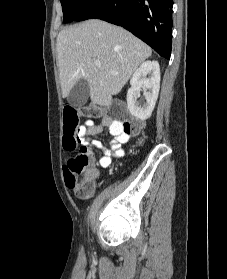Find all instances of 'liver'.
I'll list each match as a JSON object with an SVG mask.
<instances>
[{
  "mask_svg": "<svg viewBox=\"0 0 227 279\" xmlns=\"http://www.w3.org/2000/svg\"><path fill=\"white\" fill-rule=\"evenodd\" d=\"M56 51L62 97L66 98L77 81L84 78L91 101L107 107L112 104V96L121 91L152 53L148 45L127 30L99 19L61 30ZM94 61L101 66H95Z\"/></svg>",
  "mask_w": 227,
  "mask_h": 279,
  "instance_id": "obj_1",
  "label": "liver"
}]
</instances>
